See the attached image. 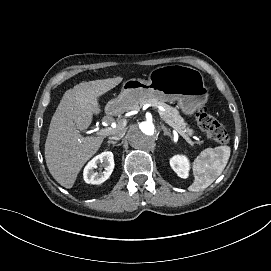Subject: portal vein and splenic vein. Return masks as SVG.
Here are the masks:
<instances>
[{"label": "portal vein and splenic vein", "mask_w": 271, "mask_h": 271, "mask_svg": "<svg viewBox=\"0 0 271 271\" xmlns=\"http://www.w3.org/2000/svg\"><path fill=\"white\" fill-rule=\"evenodd\" d=\"M160 120H162L165 123H167L169 125V127L172 128V130L177 131L181 137L184 136L186 142H188L191 145V147H194L193 141L190 140L187 135H185L184 131H182V129L179 128V126H175L174 122H172L171 120H168V118H166L164 116H160ZM111 131H112L111 127H105V128H102V129H97L96 132H95V134L96 135H100V136H106Z\"/></svg>", "instance_id": "1"}]
</instances>
